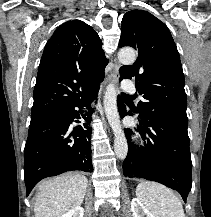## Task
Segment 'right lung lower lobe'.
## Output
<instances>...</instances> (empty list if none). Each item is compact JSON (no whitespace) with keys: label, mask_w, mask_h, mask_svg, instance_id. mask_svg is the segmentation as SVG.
Masks as SVG:
<instances>
[{"label":"right lung lower lobe","mask_w":211,"mask_h":217,"mask_svg":"<svg viewBox=\"0 0 211 217\" xmlns=\"http://www.w3.org/2000/svg\"><path fill=\"white\" fill-rule=\"evenodd\" d=\"M98 88L59 109L33 116L24 149V179L27 196L43 178L67 171L92 172L90 127L72 126L82 109L97 95ZM82 116L89 122L91 115ZM75 122H79L76 120Z\"/></svg>","instance_id":"obj_1"}]
</instances>
